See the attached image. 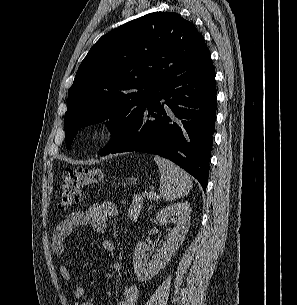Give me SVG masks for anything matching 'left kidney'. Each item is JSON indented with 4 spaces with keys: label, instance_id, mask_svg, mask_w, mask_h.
I'll use <instances>...</instances> for the list:
<instances>
[{
    "label": "left kidney",
    "instance_id": "obj_1",
    "mask_svg": "<svg viewBox=\"0 0 297 305\" xmlns=\"http://www.w3.org/2000/svg\"><path fill=\"white\" fill-rule=\"evenodd\" d=\"M190 214L191 206L188 202H178L158 212L159 224L166 225L172 222L174 227L170 229L167 239L150 261L145 255L149 246L145 242L137 243L133 254V266L138 280L147 281L153 278L175 255L189 230Z\"/></svg>",
    "mask_w": 297,
    "mask_h": 305
}]
</instances>
